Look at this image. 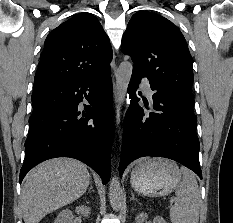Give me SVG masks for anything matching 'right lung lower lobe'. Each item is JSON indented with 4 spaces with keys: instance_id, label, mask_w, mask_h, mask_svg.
<instances>
[{
    "instance_id": "right-lung-lower-lobe-1",
    "label": "right lung lower lobe",
    "mask_w": 233,
    "mask_h": 223,
    "mask_svg": "<svg viewBox=\"0 0 233 223\" xmlns=\"http://www.w3.org/2000/svg\"><path fill=\"white\" fill-rule=\"evenodd\" d=\"M83 99L90 106L84 104L82 110ZM32 107L20 183L40 162L71 157L92 167L106 184L114 139L110 69L93 78L34 89Z\"/></svg>"
}]
</instances>
